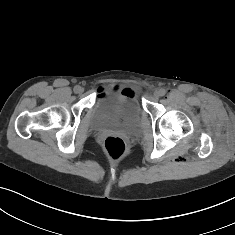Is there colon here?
<instances>
[{
    "label": "colon",
    "mask_w": 235,
    "mask_h": 235,
    "mask_svg": "<svg viewBox=\"0 0 235 235\" xmlns=\"http://www.w3.org/2000/svg\"><path fill=\"white\" fill-rule=\"evenodd\" d=\"M104 150L111 160H119L126 153V145L122 138L109 136L104 140Z\"/></svg>",
    "instance_id": "5ec220e1"
}]
</instances>
